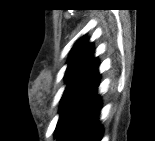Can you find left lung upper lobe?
<instances>
[{
    "instance_id": "left-lung-upper-lobe-1",
    "label": "left lung upper lobe",
    "mask_w": 155,
    "mask_h": 141,
    "mask_svg": "<svg viewBox=\"0 0 155 141\" xmlns=\"http://www.w3.org/2000/svg\"><path fill=\"white\" fill-rule=\"evenodd\" d=\"M67 62L68 67L65 73L67 85L60 103V117L56 126L57 137L70 106L87 88L99 67V61L94 57V46L85 36L74 44Z\"/></svg>"
}]
</instances>
